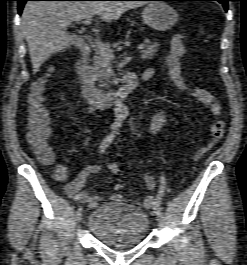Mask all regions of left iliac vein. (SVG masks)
Wrapping results in <instances>:
<instances>
[{"mask_svg": "<svg viewBox=\"0 0 247 265\" xmlns=\"http://www.w3.org/2000/svg\"><path fill=\"white\" fill-rule=\"evenodd\" d=\"M155 214L159 225L162 226L164 222L163 214L161 212H155Z\"/></svg>", "mask_w": 247, "mask_h": 265, "instance_id": "4c4485c4", "label": "left iliac vein"}]
</instances>
